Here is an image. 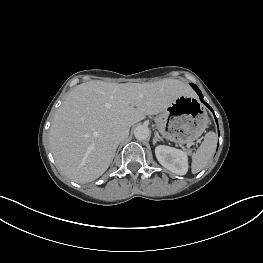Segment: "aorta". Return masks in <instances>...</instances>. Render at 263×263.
<instances>
[{"instance_id":"obj_1","label":"aorta","mask_w":263,"mask_h":263,"mask_svg":"<svg viewBox=\"0 0 263 263\" xmlns=\"http://www.w3.org/2000/svg\"><path fill=\"white\" fill-rule=\"evenodd\" d=\"M134 136L139 141L146 140L150 136V130L145 125H139L134 130Z\"/></svg>"}]
</instances>
